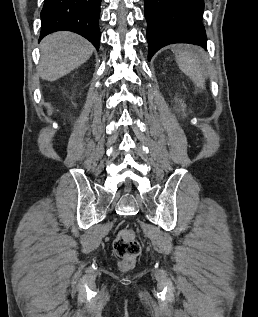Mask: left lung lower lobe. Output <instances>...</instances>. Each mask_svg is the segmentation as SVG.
I'll use <instances>...</instances> for the list:
<instances>
[{
  "label": "left lung lower lobe",
  "mask_w": 258,
  "mask_h": 317,
  "mask_svg": "<svg viewBox=\"0 0 258 317\" xmlns=\"http://www.w3.org/2000/svg\"><path fill=\"white\" fill-rule=\"evenodd\" d=\"M148 60L162 47L189 43L206 49L204 0H144Z\"/></svg>",
  "instance_id": "1"
}]
</instances>
